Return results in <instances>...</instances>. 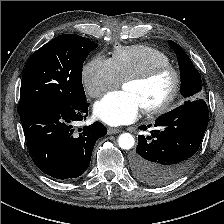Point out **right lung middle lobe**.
Instances as JSON below:
<instances>
[{"mask_svg": "<svg viewBox=\"0 0 224 224\" xmlns=\"http://www.w3.org/2000/svg\"><path fill=\"white\" fill-rule=\"evenodd\" d=\"M97 46L88 38L64 34L38 49L23 71L19 115L39 105L73 106L86 101L82 68Z\"/></svg>", "mask_w": 224, "mask_h": 224, "instance_id": "1", "label": "right lung middle lobe"}]
</instances>
